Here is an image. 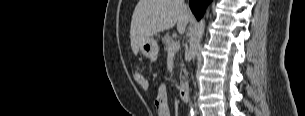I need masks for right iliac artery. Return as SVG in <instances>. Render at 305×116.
<instances>
[{
    "label": "right iliac artery",
    "instance_id": "82829eb1",
    "mask_svg": "<svg viewBox=\"0 0 305 116\" xmlns=\"http://www.w3.org/2000/svg\"><path fill=\"white\" fill-rule=\"evenodd\" d=\"M189 116H195L194 112H191V113L189 114Z\"/></svg>",
    "mask_w": 305,
    "mask_h": 116
}]
</instances>
